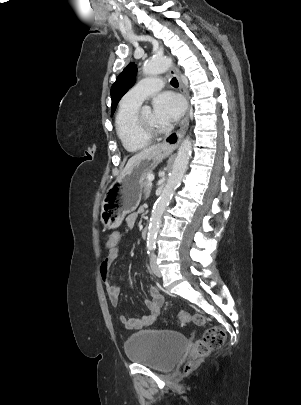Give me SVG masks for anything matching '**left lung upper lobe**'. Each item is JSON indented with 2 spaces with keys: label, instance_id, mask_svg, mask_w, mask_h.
<instances>
[{
  "label": "left lung upper lobe",
  "instance_id": "5c2ea615",
  "mask_svg": "<svg viewBox=\"0 0 301 405\" xmlns=\"http://www.w3.org/2000/svg\"><path fill=\"white\" fill-rule=\"evenodd\" d=\"M137 68L134 63H130L118 76L111 88L112 113L113 115L121 97L132 87L135 82Z\"/></svg>",
  "mask_w": 301,
  "mask_h": 405
}]
</instances>
